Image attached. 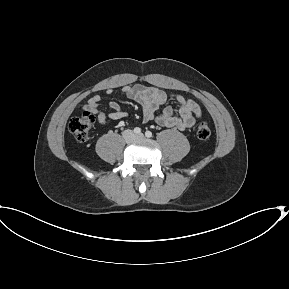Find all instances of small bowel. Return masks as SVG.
<instances>
[{
  "label": "small bowel",
  "instance_id": "1",
  "mask_svg": "<svg viewBox=\"0 0 289 289\" xmlns=\"http://www.w3.org/2000/svg\"><path fill=\"white\" fill-rule=\"evenodd\" d=\"M123 95L136 101L142 107L143 119L146 122L154 121L157 124L179 130H186L192 127L196 120L201 117L199 105L192 99L180 94L168 95L164 90L144 85L125 86L121 89ZM113 90L108 89L107 94H112ZM168 100H172L178 105V115L175 114L172 106L165 107L160 114L157 110ZM101 96L95 94L84 106L85 111H89L97 116L100 124H107L109 120H120L126 117V113L115 101H110L107 105L111 112L103 111L99 108Z\"/></svg>",
  "mask_w": 289,
  "mask_h": 289
}]
</instances>
